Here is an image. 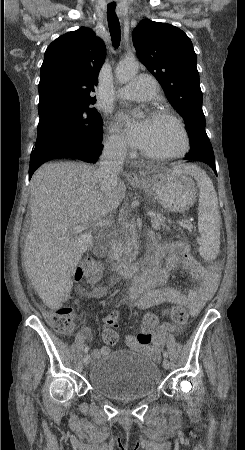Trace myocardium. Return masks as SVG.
Segmentation results:
<instances>
[{
	"label": "myocardium",
	"mask_w": 245,
	"mask_h": 450,
	"mask_svg": "<svg viewBox=\"0 0 245 450\" xmlns=\"http://www.w3.org/2000/svg\"><path fill=\"white\" fill-rule=\"evenodd\" d=\"M150 119L168 120V121L172 122L174 125H176V127L179 129V131L182 134L183 146L179 151H177L175 153H170V154L150 153V152H146L142 149L141 150L142 155L152 158L156 161L164 162V161H170V160L181 158L189 152L190 147H191L190 136H189V133H188L184 123L180 120L179 117H177L174 113H172L169 110H158L151 114Z\"/></svg>",
	"instance_id": "myocardium-1"
}]
</instances>
